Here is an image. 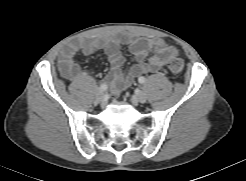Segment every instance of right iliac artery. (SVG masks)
I'll use <instances>...</instances> for the list:
<instances>
[{"mask_svg": "<svg viewBox=\"0 0 246 181\" xmlns=\"http://www.w3.org/2000/svg\"><path fill=\"white\" fill-rule=\"evenodd\" d=\"M99 88H100V90L105 91V90H107V85L103 83L100 85Z\"/></svg>", "mask_w": 246, "mask_h": 181, "instance_id": "82829eb1", "label": "right iliac artery"}]
</instances>
